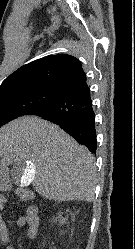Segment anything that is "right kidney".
<instances>
[{
	"label": "right kidney",
	"instance_id": "obj_1",
	"mask_svg": "<svg viewBox=\"0 0 135 249\" xmlns=\"http://www.w3.org/2000/svg\"><path fill=\"white\" fill-rule=\"evenodd\" d=\"M55 222H59L60 225L67 222V218L63 217L62 213H59L58 216L54 219Z\"/></svg>",
	"mask_w": 135,
	"mask_h": 249
}]
</instances>
